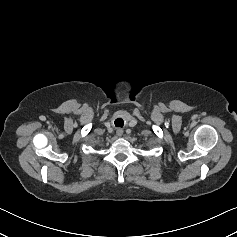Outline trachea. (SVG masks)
<instances>
[{
  "label": "trachea",
  "mask_w": 237,
  "mask_h": 237,
  "mask_svg": "<svg viewBox=\"0 0 237 237\" xmlns=\"http://www.w3.org/2000/svg\"><path fill=\"white\" fill-rule=\"evenodd\" d=\"M123 123H124L123 119H121V118H118V119L115 120V126L116 127H122Z\"/></svg>",
  "instance_id": "trachea-1"
}]
</instances>
